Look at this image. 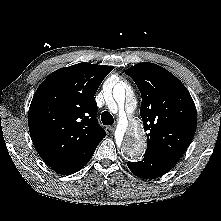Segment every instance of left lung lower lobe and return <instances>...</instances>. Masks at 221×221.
<instances>
[{
	"label": "left lung lower lobe",
	"instance_id": "1",
	"mask_svg": "<svg viewBox=\"0 0 221 221\" xmlns=\"http://www.w3.org/2000/svg\"><path fill=\"white\" fill-rule=\"evenodd\" d=\"M174 166L175 163L148 153H145L142 161L128 162L129 169L136 176L145 179H153L162 176Z\"/></svg>",
	"mask_w": 221,
	"mask_h": 221
}]
</instances>
